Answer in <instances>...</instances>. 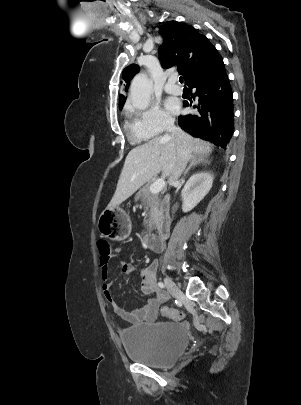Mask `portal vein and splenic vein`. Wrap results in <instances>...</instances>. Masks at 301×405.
Here are the masks:
<instances>
[{
  "instance_id": "portal-vein-and-splenic-vein-1",
  "label": "portal vein and splenic vein",
  "mask_w": 301,
  "mask_h": 405,
  "mask_svg": "<svg viewBox=\"0 0 301 405\" xmlns=\"http://www.w3.org/2000/svg\"><path fill=\"white\" fill-rule=\"evenodd\" d=\"M164 186H165L164 178H160L156 180L153 184H151L150 191L152 193H158L163 189Z\"/></svg>"
}]
</instances>
